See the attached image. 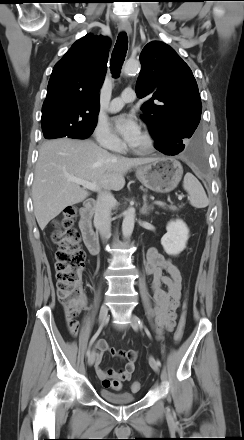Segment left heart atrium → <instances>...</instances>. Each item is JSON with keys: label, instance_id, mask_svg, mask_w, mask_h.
<instances>
[{"label": "left heart atrium", "instance_id": "left-heart-atrium-1", "mask_svg": "<svg viewBox=\"0 0 244 440\" xmlns=\"http://www.w3.org/2000/svg\"><path fill=\"white\" fill-rule=\"evenodd\" d=\"M115 130L129 145H133L141 135L140 126L132 117L119 115L113 119Z\"/></svg>", "mask_w": 244, "mask_h": 440}]
</instances>
